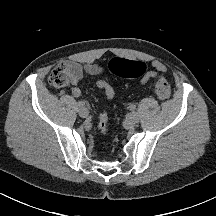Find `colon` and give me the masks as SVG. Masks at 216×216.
<instances>
[{
  "instance_id": "obj_1",
  "label": "colon",
  "mask_w": 216,
  "mask_h": 216,
  "mask_svg": "<svg viewBox=\"0 0 216 216\" xmlns=\"http://www.w3.org/2000/svg\"><path fill=\"white\" fill-rule=\"evenodd\" d=\"M110 71L120 77H140L146 71V65L140 61H130L123 58H114L109 63ZM49 83L57 88L65 87L69 83V73L67 66L62 63L56 66L50 73ZM155 92L159 99L166 100L171 95L169 83L162 76L158 77L155 84ZM98 128L102 134L109 131V114L102 111L98 116Z\"/></svg>"
}]
</instances>
